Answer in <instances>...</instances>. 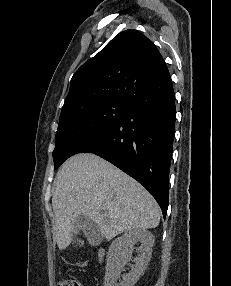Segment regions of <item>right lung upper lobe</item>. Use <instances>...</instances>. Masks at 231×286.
I'll return each instance as SVG.
<instances>
[{"label":"right lung upper lobe","instance_id":"right-lung-upper-lobe-1","mask_svg":"<svg viewBox=\"0 0 231 286\" xmlns=\"http://www.w3.org/2000/svg\"><path fill=\"white\" fill-rule=\"evenodd\" d=\"M169 77L154 43L137 30L123 31L73 75L60 117L100 102H125Z\"/></svg>","mask_w":231,"mask_h":286}]
</instances>
